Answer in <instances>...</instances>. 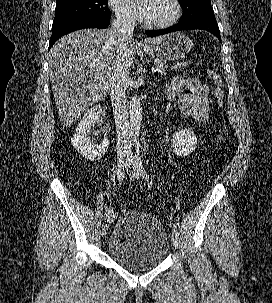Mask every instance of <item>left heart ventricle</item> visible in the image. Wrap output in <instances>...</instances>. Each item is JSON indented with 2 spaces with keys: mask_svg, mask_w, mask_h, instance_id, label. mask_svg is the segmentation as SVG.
I'll return each mask as SVG.
<instances>
[{
  "mask_svg": "<svg viewBox=\"0 0 272 303\" xmlns=\"http://www.w3.org/2000/svg\"><path fill=\"white\" fill-rule=\"evenodd\" d=\"M173 12L171 0H151L146 20L153 23L163 22L171 18Z\"/></svg>",
  "mask_w": 272,
  "mask_h": 303,
  "instance_id": "1",
  "label": "left heart ventricle"
}]
</instances>
